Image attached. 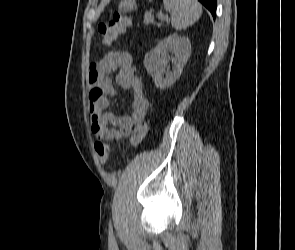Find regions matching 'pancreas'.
Segmentation results:
<instances>
[{"label": "pancreas", "mask_w": 295, "mask_h": 250, "mask_svg": "<svg viewBox=\"0 0 295 250\" xmlns=\"http://www.w3.org/2000/svg\"><path fill=\"white\" fill-rule=\"evenodd\" d=\"M144 23L146 25L154 23V18L152 16L151 12H146L145 13V15H144Z\"/></svg>", "instance_id": "1"}]
</instances>
